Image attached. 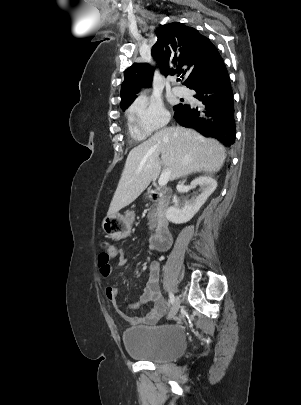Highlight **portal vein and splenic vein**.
Returning <instances> with one entry per match:
<instances>
[{"label":"portal vein and splenic vein","instance_id":"portal-vein-and-splenic-vein-1","mask_svg":"<svg viewBox=\"0 0 301 405\" xmlns=\"http://www.w3.org/2000/svg\"><path fill=\"white\" fill-rule=\"evenodd\" d=\"M169 177H170L169 171L166 170V171L162 172V174L160 175V178L158 180L159 186H161V187L165 186L169 181Z\"/></svg>","mask_w":301,"mask_h":405}]
</instances>
